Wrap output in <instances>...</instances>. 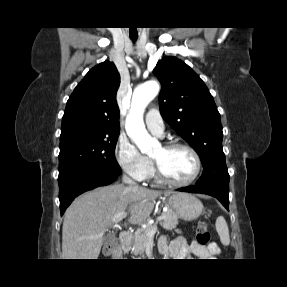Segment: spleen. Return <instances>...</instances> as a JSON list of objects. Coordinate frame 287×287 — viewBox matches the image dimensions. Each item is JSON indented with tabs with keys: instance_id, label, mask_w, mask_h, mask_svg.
I'll list each match as a JSON object with an SVG mask.
<instances>
[{
	"instance_id": "obj_1",
	"label": "spleen",
	"mask_w": 287,
	"mask_h": 287,
	"mask_svg": "<svg viewBox=\"0 0 287 287\" xmlns=\"http://www.w3.org/2000/svg\"><path fill=\"white\" fill-rule=\"evenodd\" d=\"M216 230L220 236L223 245L227 246L230 243L229 229L224 217L219 216L216 220Z\"/></svg>"
}]
</instances>
